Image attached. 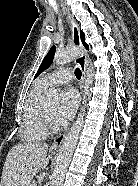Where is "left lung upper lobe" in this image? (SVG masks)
<instances>
[{"instance_id":"1","label":"left lung upper lobe","mask_w":138,"mask_h":186,"mask_svg":"<svg viewBox=\"0 0 138 186\" xmlns=\"http://www.w3.org/2000/svg\"><path fill=\"white\" fill-rule=\"evenodd\" d=\"M80 36H81V40H82V43H83L84 47L88 50L89 47H88V45L85 43V35H84V33H83L82 31L80 32ZM55 49H56L55 46H53V47L49 50V52L47 53V55H46L45 58L43 59V61H42V63H41V66H40V68L38 69V71H37V73H36V75H35V78L51 65L52 60H53V58H54Z\"/></svg>"}]
</instances>
